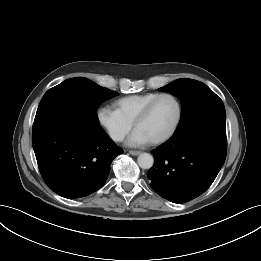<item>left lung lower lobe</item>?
Segmentation results:
<instances>
[{"mask_svg": "<svg viewBox=\"0 0 261 261\" xmlns=\"http://www.w3.org/2000/svg\"><path fill=\"white\" fill-rule=\"evenodd\" d=\"M151 152L155 158L147 172L151 187L171 202H188L210 187L224 164L226 121L173 135Z\"/></svg>", "mask_w": 261, "mask_h": 261, "instance_id": "1", "label": "left lung lower lobe"}]
</instances>
